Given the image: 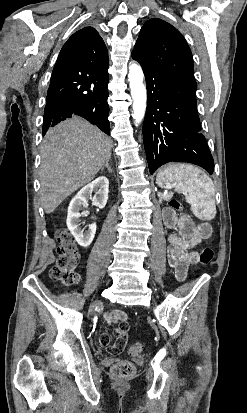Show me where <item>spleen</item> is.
Wrapping results in <instances>:
<instances>
[{
  "mask_svg": "<svg viewBox=\"0 0 247 413\" xmlns=\"http://www.w3.org/2000/svg\"><path fill=\"white\" fill-rule=\"evenodd\" d=\"M167 172L169 168H162L156 176V182L159 186H163L164 182H169ZM172 184H174L177 192H186V200L190 202L194 215L199 217L203 213L204 221H208V217L212 215V209L215 213V200L213 198L214 184L203 170L200 168H188V170H179L176 176H172ZM203 207V211H199Z\"/></svg>",
  "mask_w": 247,
  "mask_h": 413,
  "instance_id": "spleen-1",
  "label": "spleen"
}]
</instances>
